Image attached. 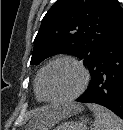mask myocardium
Returning <instances> with one entry per match:
<instances>
[{"instance_id":"myocardium-1","label":"myocardium","mask_w":123,"mask_h":130,"mask_svg":"<svg viewBox=\"0 0 123 130\" xmlns=\"http://www.w3.org/2000/svg\"><path fill=\"white\" fill-rule=\"evenodd\" d=\"M70 62L72 64H74L75 66H77L79 68V70L82 73V82L80 87L78 88V90L72 94L69 97L66 98H62V99H53L47 96L45 89H44V78H45V74L47 72V70L54 64L58 63V62ZM90 80V74L88 69L85 67V65L82 63V61H80L79 59H77L76 57L70 56V55H61L58 57H55L54 59H52L51 61H49L42 69L40 72V77H39V91H40V95L42 97V99L46 102L49 103H53V104H64V103H68L71 101H74L75 99H77L87 88L88 83Z\"/></svg>"}]
</instances>
